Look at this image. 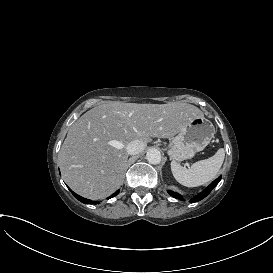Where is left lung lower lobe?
Returning a JSON list of instances; mask_svg holds the SVG:
<instances>
[{"mask_svg": "<svg viewBox=\"0 0 273 273\" xmlns=\"http://www.w3.org/2000/svg\"><path fill=\"white\" fill-rule=\"evenodd\" d=\"M221 180V176L219 178H217L214 182H212L203 192H201L200 194H198L196 197H194L193 199L190 200V202H197V201H200L202 200L203 198H205L211 191L212 189L218 184V182ZM168 193L174 197V198H177L179 200H184L182 198L181 195H179L178 193L176 192H173V191H168Z\"/></svg>", "mask_w": 273, "mask_h": 273, "instance_id": "left-lung-lower-lobe-1", "label": "left lung lower lobe"}]
</instances>
